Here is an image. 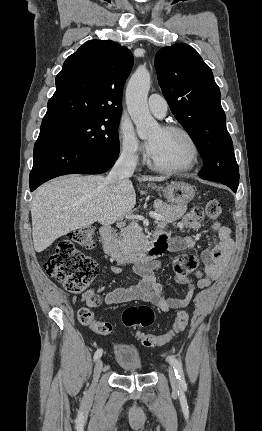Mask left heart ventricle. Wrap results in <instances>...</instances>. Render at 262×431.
<instances>
[{"label": "left heart ventricle", "mask_w": 262, "mask_h": 431, "mask_svg": "<svg viewBox=\"0 0 262 431\" xmlns=\"http://www.w3.org/2000/svg\"><path fill=\"white\" fill-rule=\"evenodd\" d=\"M147 139L154 142V150L150 156L158 164L180 166L188 161L190 145L183 135L167 132L158 127L149 134Z\"/></svg>", "instance_id": "b2bd125f"}]
</instances>
